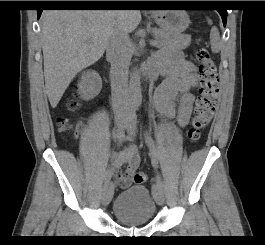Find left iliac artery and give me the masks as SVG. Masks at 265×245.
<instances>
[{"mask_svg": "<svg viewBox=\"0 0 265 245\" xmlns=\"http://www.w3.org/2000/svg\"><path fill=\"white\" fill-rule=\"evenodd\" d=\"M145 141L146 144L148 145L149 149H150V156L152 158V164L153 166L157 165V154H156V147L154 144V141L146 134L145 136ZM164 187V183L161 179V177L159 175L156 176V183L153 184L152 186V190L153 192H155L157 190V188H163Z\"/></svg>", "mask_w": 265, "mask_h": 245, "instance_id": "44dca946", "label": "left iliac artery"}]
</instances>
